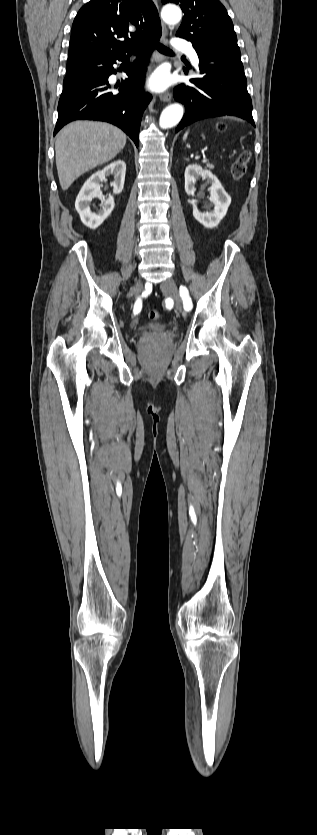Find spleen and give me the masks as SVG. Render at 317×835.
Wrapping results in <instances>:
<instances>
[{
  "label": "spleen",
  "mask_w": 317,
  "mask_h": 835,
  "mask_svg": "<svg viewBox=\"0 0 317 835\" xmlns=\"http://www.w3.org/2000/svg\"><path fill=\"white\" fill-rule=\"evenodd\" d=\"M188 134H189V131H187V132L184 134V136H183V140H186V139H187Z\"/></svg>",
  "instance_id": "obj_1"
}]
</instances>
